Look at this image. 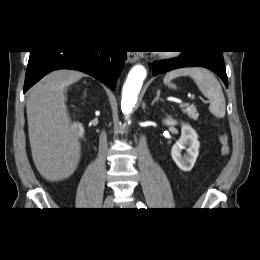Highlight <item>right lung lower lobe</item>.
I'll return each mask as SVG.
<instances>
[{"label": "right lung lower lobe", "instance_id": "obj_1", "mask_svg": "<svg viewBox=\"0 0 260 260\" xmlns=\"http://www.w3.org/2000/svg\"><path fill=\"white\" fill-rule=\"evenodd\" d=\"M125 59L126 51H31L23 92L47 73L61 68L85 72L114 90Z\"/></svg>", "mask_w": 260, "mask_h": 260}]
</instances>
